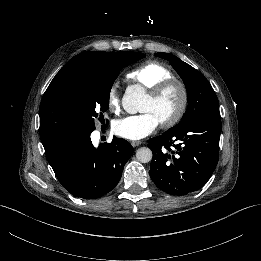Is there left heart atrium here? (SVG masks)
<instances>
[{
	"label": "left heart atrium",
	"mask_w": 261,
	"mask_h": 261,
	"mask_svg": "<svg viewBox=\"0 0 261 261\" xmlns=\"http://www.w3.org/2000/svg\"><path fill=\"white\" fill-rule=\"evenodd\" d=\"M159 123L157 117L148 111L115 121L112 130L121 138L138 141L153 133Z\"/></svg>",
	"instance_id": "1"
}]
</instances>
